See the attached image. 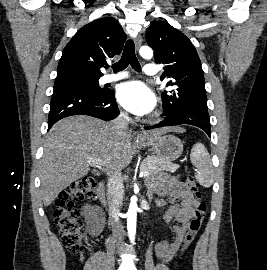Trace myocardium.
<instances>
[{
  "label": "myocardium",
  "instance_id": "1",
  "mask_svg": "<svg viewBox=\"0 0 267 270\" xmlns=\"http://www.w3.org/2000/svg\"><path fill=\"white\" fill-rule=\"evenodd\" d=\"M159 116H160L159 112L155 113L154 116L152 117V121L157 120L159 118Z\"/></svg>",
  "mask_w": 267,
  "mask_h": 270
}]
</instances>
